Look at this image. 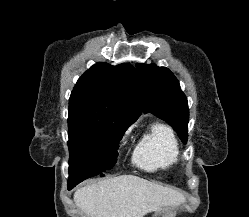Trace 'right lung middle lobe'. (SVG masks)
Segmentation results:
<instances>
[{
    "label": "right lung middle lobe",
    "instance_id": "dd1d6c3e",
    "mask_svg": "<svg viewBox=\"0 0 249 217\" xmlns=\"http://www.w3.org/2000/svg\"><path fill=\"white\" fill-rule=\"evenodd\" d=\"M131 124L89 104H70L68 147L70 162L90 167L85 178L103 174L117 161L119 141Z\"/></svg>",
    "mask_w": 249,
    "mask_h": 217
}]
</instances>
